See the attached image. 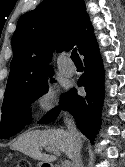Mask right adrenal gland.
<instances>
[{"instance_id":"right-adrenal-gland-1","label":"right adrenal gland","mask_w":125,"mask_h":167,"mask_svg":"<svg viewBox=\"0 0 125 167\" xmlns=\"http://www.w3.org/2000/svg\"><path fill=\"white\" fill-rule=\"evenodd\" d=\"M80 167H84V164H83V161H82L81 157H80Z\"/></svg>"}]
</instances>
